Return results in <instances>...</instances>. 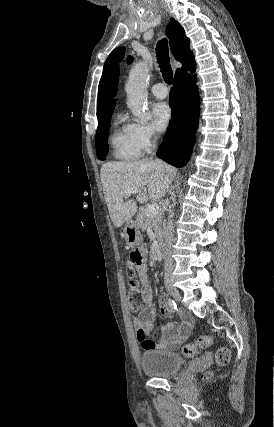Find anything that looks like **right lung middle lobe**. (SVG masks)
<instances>
[{"instance_id": "dd1d6c3e", "label": "right lung middle lobe", "mask_w": 274, "mask_h": 427, "mask_svg": "<svg viewBox=\"0 0 274 427\" xmlns=\"http://www.w3.org/2000/svg\"><path fill=\"white\" fill-rule=\"evenodd\" d=\"M114 106L97 113L98 128L96 133V152L100 160H104L108 153L107 138L109 133V120Z\"/></svg>"}]
</instances>
